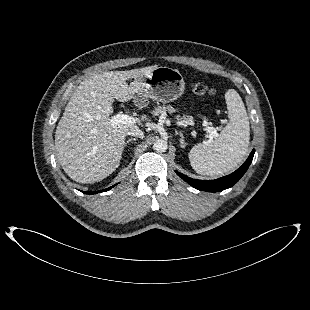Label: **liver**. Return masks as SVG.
Returning <instances> with one entry per match:
<instances>
[{
    "label": "liver",
    "instance_id": "liver-1",
    "mask_svg": "<svg viewBox=\"0 0 310 310\" xmlns=\"http://www.w3.org/2000/svg\"><path fill=\"white\" fill-rule=\"evenodd\" d=\"M156 67L94 74L75 89L55 132L56 156L72 180L98 182L118 168L125 136L138 127L111 125L112 103L114 99L131 100L144 88V79ZM131 78L134 81L128 85L126 81Z\"/></svg>",
    "mask_w": 310,
    "mask_h": 310
}]
</instances>
